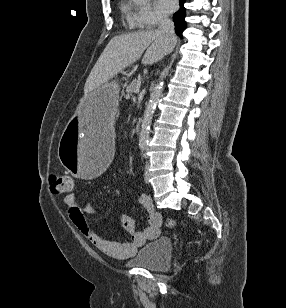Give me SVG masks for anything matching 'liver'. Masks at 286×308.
<instances>
[{
    "label": "liver",
    "mask_w": 286,
    "mask_h": 308,
    "mask_svg": "<svg viewBox=\"0 0 286 308\" xmlns=\"http://www.w3.org/2000/svg\"><path fill=\"white\" fill-rule=\"evenodd\" d=\"M175 44L176 41H169L157 30L137 31L113 37L86 80L85 97L138 61L144 52L143 64H154L170 53ZM90 116L92 114L89 118Z\"/></svg>",
    "instance_id": "6515ba94"
}]
</instances>
